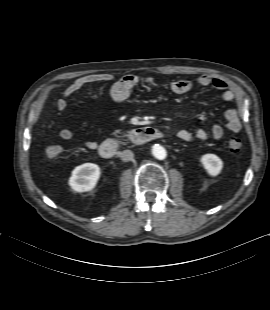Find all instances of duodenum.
<instances>
[{
    "label": "duodenum",
    "instance_id": "obj_1",
    "mask_svg": "<svg viewBox=\"0 0 270 310\" xmlns=\"http://www.w3.org/2000/svg\"><path fill=\"white\" fill-rule=\"evenodd\" d=\"M163 133L153 127H142L130 131L127 134L128 141L133 145H142L151 140L161 138ZM120 147V141L116 138L106 139L99 146V154L103 158L113 157Z\"/></svg>",
    "mask_w": 270,
    "mask_h": 310
}]
</instances>
